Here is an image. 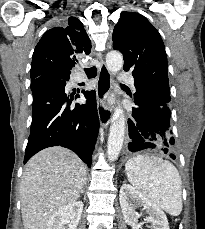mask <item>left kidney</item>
<instances>
[{"label": "left kidney", "mask_w": 205, "mask_h": 229, "mask_svg": "<svg viewBox=\"0 0 205 229\" xmlns=\"http://www.w3.org/2000/svg\"><path fill=\"white\" fill-rule=\"evenodd\" d=\"M120 206L125 222L132 229H139V214L135 211L137 207H143L149 216L145 221L151 223L153 229H169V223L163 210L144 194L129 184H123L119 194Z\"/></svg>", "instance_id": "obj_1"}]
</instances>
